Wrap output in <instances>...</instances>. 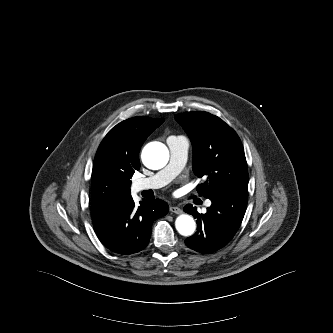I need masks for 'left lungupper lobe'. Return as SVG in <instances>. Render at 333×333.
Segmentation results:
<instances>
[{
  "label": "left lung upper lobe",
  "instance_id": "1",
  "mask_svg": "<svg viewBox=\"0 0 333 333\" xmlns=\"http://www.w3.org/2000/svg\"><path fill=\"white\" fill-rule=\"evenodd\" d=\"M193 146V171L207 180L197 186L209 198L226 191L247 190L248 170L241 141L219 117L197 111L175 115Z\"/></svg>",
  "mask_w": 333,
  "mask_h": 333
}]
</instances>
